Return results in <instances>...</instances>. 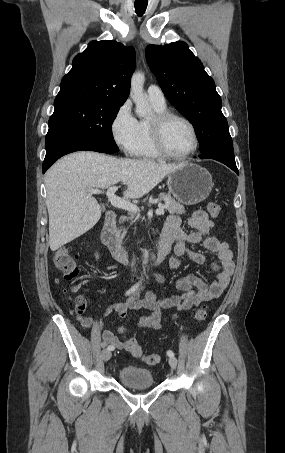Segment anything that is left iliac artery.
<instances>
[{
	"label": "left iliac artery",
	"mask_w": 285,
	"mask_h": 453,
	"mask_svg": "<svg viewBox=\"0 0 285 453\" xmlns=\"http://www.w3.org/2000/svg\"><path fill=\"white\" fill-rule=\"evenodd\" d=\"M167 355H168L169 357H174V352L171 351V350H168V351H167Z\"/></svg>",
	"instance_id": "obj_1"
}]
</instances>
